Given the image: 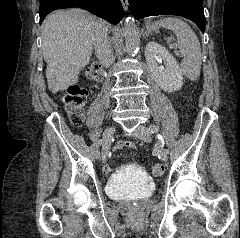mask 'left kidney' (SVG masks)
<instances>
[{"instance_id": "obj_1", "label": "left kidney", "mask_w": 240, "mask_h": 238, "mask_svg": "<svg viewBox=\"0 0 240 238\" xmlns=\"http://www.w3.org/2000/svg\"><path fill=\"white\" fill-rule=\"evenodd\" d=\"M145 58L156 83L165 92L178 91L183 85V74L176 59L162 45L151 41L146 45ZM164 61L165 68L157 62Z\"/></svg>"}]
</instances>
